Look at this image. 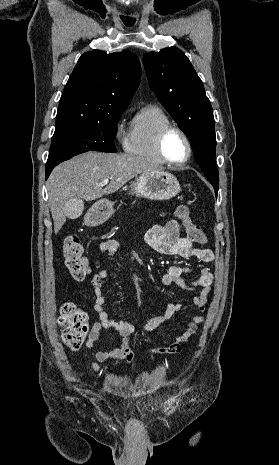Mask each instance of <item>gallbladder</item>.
<instances>
[{
    "instance_id": "1",
    "label": "gallbladder",
    "mask_w": 279,
    "mask_h": 465,
    "mask_svg": "<svg viewBox=\"0 0 279 465\" xmlns=\"http://www.w3.org/2000/svg\"><path fill=\"white\" fill-rule=\"evenodd\" d=\"M66 209H67L66 217L68 219H71V220L77 219L81 215L82 200L80 199L70 200L66 205Z\"/></svg>"
}]
</instances>
